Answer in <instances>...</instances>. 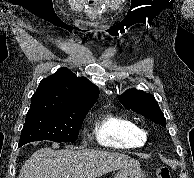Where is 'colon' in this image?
I'll return each mask as SVG.
<instances>
[{
	"instance_id": "1",
	"label": "colon",
	"mask_w": 194,
	"mask_h": 178,
	"mask_svg": "<svg viewBox=\"0 0 194 178\" xmlns=\"http://www.w3.org/2000/svg\"><path fill=\"white\" fill-rule=\"evenodd\" d=\"M157 178H171V170L167 166L159 167L156 171Z\"/></svg>"
}]
</instances>
